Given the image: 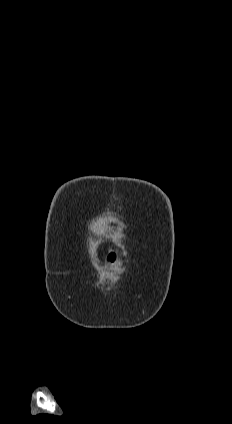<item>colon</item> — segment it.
Listing matches in <instances>:
<instances>
[{
	"label": "colon",
	"instance_id": "colon-1",
	"mask_svg": "<svg viewBox=\"0 0 232 424\" xmlns=\"http://www.w3.org/2000/svg\"><path fill=\"white\" fill-rule=\"evenodd\" d=\"M108 260H109V262H110V263H112V264H116V255H115L114 253H111V254L108 256Z\"/></svg>",
	"mask_w": 232,
	"mask_h": 424
}]
</instances>
